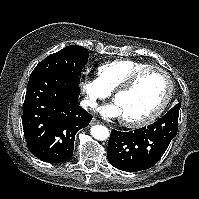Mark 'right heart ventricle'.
<instances>
[{
	"mask_svg": "<svg viewBox=\"0 0 199 199\" xmlns=\"http://www.w3.org/2000/svg\"><path fill=\"white\" fill-rule=\"evenodd\" d=\"M149 64L130 60L116 59L100 65L97 69L98 79L108 92L121 85L133 72Z\"/></svg>",
	"mask_w": 199,
	"mask_h": 199,
	"instance_id": "obj_1",
	"label": "right heart ventricle"
}]
</instances>
